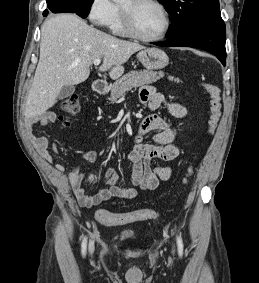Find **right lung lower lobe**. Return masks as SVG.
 I'll use <instances>...</instances> for the list:
<instances>
[{
    "label": "right lung lower lobe",
    "mask_w": 259,
    "mask_h": 283,
    "mask_svg": "<svg viewBox=\"0 0 259 283\" xmlns=\"http://www.w3.org/2000/svg\"><path fill=\"white\" fill-rule=\"evenodd\" d=\"M48 9L43 12L47 16L48 11L53 13H79L81 7L80 0H47Z\"/></svg>",
    "instance_id": "1"
}]
</instances>
